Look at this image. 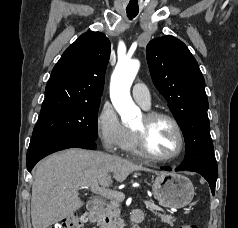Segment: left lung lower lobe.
Returning <instances> with one entry per match:
<instances>
[{
    "instance_id": "1",
    "label": "left lung lower lobe",
    "mask_w": 238,
    "mask_h": 228,
    "mask_svg": "<svg viewBox=\"0 0 238 228\" xmlns=\"http://www.w3.org/2000/svg\"><path fill=\"white\" fill-rule=\"evenodd\" d=\"M161 169L167 170V171L172 170V168H170V167H163ZM175 171H194V172L201 174L208 181L211 191H212V194L214 195L218 171L215 172V171H211V170L204 169V168H185V167H182L181 165L179 167H177L175 169Z\"/></svg>"
}]
</instances>
